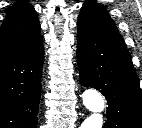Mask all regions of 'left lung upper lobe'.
<instances>
[{
    "mask_svg": "<svg viewBox=\"0 0 142 128\" xmlns=\"http://www.w3.org/2000/svg\"><path fill=\"white\" fill-rule=\"evenodd\" d=\"M77 24L106 38L124 42L106 8L96 2L88 1L82 6Z\"/></svg>",
    "mask_w": 142,
    "mask_h": 128,
    "instance_id": "5c2ea615",
    "label": "left lung upper lobe"
}]
</instances>
